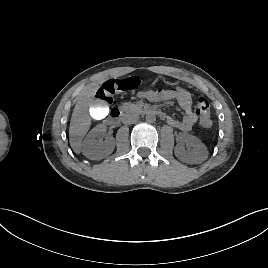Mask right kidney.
Masks as SVG:
<instances>
[{"label":"right kidney","instance_id":"1","mask_svg":"<svg viewBox=\"0 0 268 268\" xmlns=\"http://www.w3.org/2000/svg\"><path fill=\"white\" fill-rule=\"evenodd\" d=\"M105 132V125H97L88 133L81 145L84 156L91 160H101L113 152L115 148L113 137L107 136L104 142H100Z\"/></svg>","mask_w":268,"mask_h":268}]
</instances>
